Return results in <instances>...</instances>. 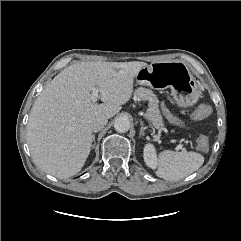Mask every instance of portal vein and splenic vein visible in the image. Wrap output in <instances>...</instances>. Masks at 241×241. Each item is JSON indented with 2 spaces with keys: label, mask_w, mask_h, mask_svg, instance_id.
Segmentation results:
<instances>
[{
  "label": "portal vein and splenic vein",
  "mask_w": 241,
  "mask_h": 241,
  "mask_svg": "<svg viewBox=\"0 0 241 241\" xmlns=\"http://www.w3.org/2000/svg\"><path fill=\"white\" fill-rule=\"evenodd\" d=\"M98 97H99V91H98L96 88H94V89L92 90V101H93V102H96L97 99H98ZM176 148H177L178 150H181V149H182V145H181V144H178Z\"/></svg>",
  "instance_id": "18ae733b"
}]
</instances>
